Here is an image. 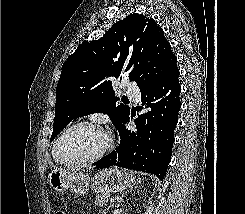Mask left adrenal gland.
I'll use <instances>...</instances> for the list:
<instances>
[{
  "label": "left adrenal gland",
  "instance_id": "obj_1",
  "mask_svg": "<svg viewBox=\"0 0 245 214\" xmlns=\"http://www.w3.org/2000/svg\"><path fill=\"white\" fill-rule=\"evenodd\" d=\"M131 189H133V188H131ZM126 194H127V191L124 192V193L118 198L117 204L121 203V201L123 200V198L125 197Z\"/></svg>",
  "mask_w": 245,
  "mask_h": 214
}]
</instances>
